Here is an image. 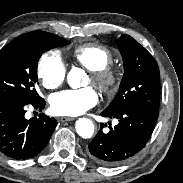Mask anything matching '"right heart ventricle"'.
Wrapping results in <instances>:
<instances>
[{"label": "right heart ventricle", "instance_id": "obj_1", "mask_svg": "<svg viewBox=\"0 0 183 183\" xmlns=\"http://www.w3.org/2000/svg\"><path fill=\"white\" fill-rule=\"evenodd\" d=\"M73 58L89 71L107 67L113 60L112 51L101 44L86 43L76 47L72 52Z\"/></svg>", "mask_w": 183, "mask_h": 183}]
</instances>
